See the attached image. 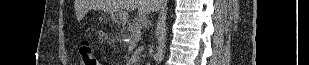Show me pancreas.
<instances>
[{"label":"pancreas","mask_w":309,"mask_h":65,"mask_svg":"<svg viewBox=\"0 0 309 65\" xmlns=\"http://www.w3.org/2000/svg\"><path fill=\"white\" fill-rule=\"evenodd\" d=\"M141 22L138 19H135L129 23L128 31L130 34H136V31L140 29Z\"/></svg>","instance_id":"cf45deb5"}]
</instances>
